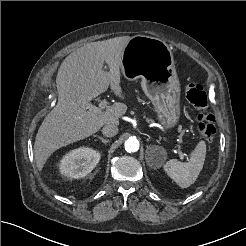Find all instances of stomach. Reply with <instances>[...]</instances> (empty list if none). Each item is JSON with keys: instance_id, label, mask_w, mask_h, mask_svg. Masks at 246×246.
Masks as SVG:
<instances>
[{"instance_id": "1", "label": "stomach", "mask_w": 246, "mask_h": 246, "mask_svg": "<svg viewBox=\"0 0 246 246\" xmlns=\"http://www.w3.org/2000/svg\"><path fill=\"white\" fill-rule=\"evenodd\" d=\"M121 70L128 80L141 78V87L165 128L180 118V83L173 53L163 40L136 35L124 48Z\"/></svg>"}]
</instances>
